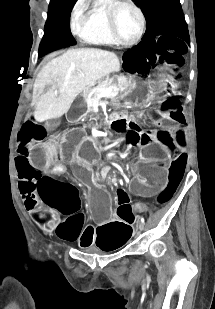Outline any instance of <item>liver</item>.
Listing matches in <instances>:
<instances>
[{
	"mask_svg": "<svg viewBox=\"0 0 215 309\" xmlns=\"http://www.w3.org/2000/svg\"><path fill=\"white\" fill-rule=\"evenodd\" d=\"M119 66L117 54L102 48H71L52 58L42 66L33 84L31 104L35 114H41L42 120L62 116L79 92L104 80ZM46 84L49 88L44 92Z\"/></svg>",
	"mask_w": 215,
	"mask_h": 309,
	"instance_id": "1",
	"label": "liver"
}]
</instances>
